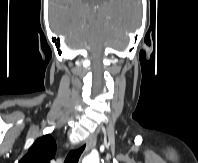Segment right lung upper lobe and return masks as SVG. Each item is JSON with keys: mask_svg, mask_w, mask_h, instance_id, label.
I'll return each instance as SVG.
<instances>
[{"mask_svg": "<svg viewBox=\"0 0 198 163\" xmlns=\"http://www.w3.org/2000/svg\"><path fill=\"white\" fill-rule=\"evenodd\" d=\"M56 143L50 134L38 138L19 163H50L55 158Z\"/></svg>", "mask_w": 198, "mask_h": 163, "instance_id": "1", "label": "right lung upper lobe"}]
</instances>
